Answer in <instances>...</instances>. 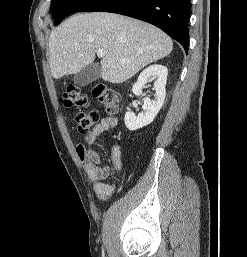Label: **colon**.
Instances as JSON below:
<instances>
[{
	"label": "colon",
	"instance_id": "obj_1",
	"mask_svg": "<svg viewBox=\"0 0 247 257\" xmlns=\"http://www.w3.org/2000/svg\"><path fill=\"white\" fill-rule=\"evenodd\" d=\"M92 95L109 115L118 112L120 99L114 89L105 84H95L92 87ZM63 101L66 107L76 109L74 120L79 132H89L98 121L99 114L95 110L88 109L89 101L81 88L77 85L67 86L63 93Z\"/></svg>",
	"mask_w": 247,
	"mask_h": 257
}]
</instances>
